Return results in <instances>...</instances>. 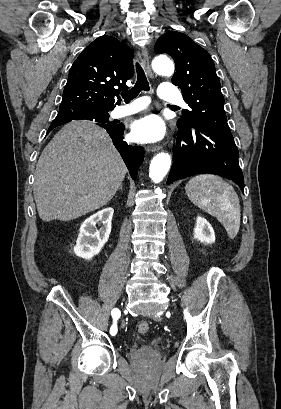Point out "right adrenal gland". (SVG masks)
Segmentation results:
<instances>
[{
	"label": "right adrenal gland",
	"instance_id": "obj_1",
	"mask_svg": "<svg viewBox=\"0 0 281 409\" xmlns=\"http://www.w3.org/2000/svg\"><path fill=\"white\" fill-rule=\"evenodd\" d=\"M119 188H121V190H122L123 184H120ZM119 188H117V190H119Z\"/></svg>",
	"mask_w": 281,
	"mask_h": 409
}]
</instances>
